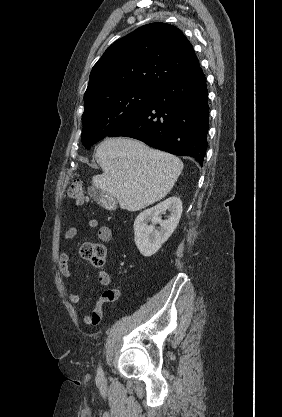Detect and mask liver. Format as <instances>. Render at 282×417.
Returning <instances> with one entry per match:
<instances>
[{
	"mask_svg": "<svg viewBox=\"0 0 282 417\" xmlns=\"http://www.w3.org/2000/svg\"><path fill=\"white\" fill-rule=\"evenodd\" d=\"M95 156L103 172L93 176L94 186L115 196L127 211H140L164 198L183 170L178 156L128 136L105 138Z\"/></svg>",
	"mask_w": 282,
	"mask_h": 417,
	"instance_id": "6515ba94",
	"label": "liver"
}]
</instances>
